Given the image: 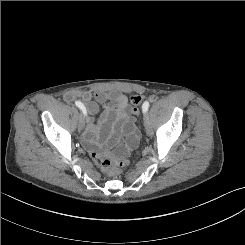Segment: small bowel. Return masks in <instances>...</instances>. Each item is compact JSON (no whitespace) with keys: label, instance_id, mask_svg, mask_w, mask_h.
<instances>
[{"label":"small bowel","instance_id":"small-bowel-1","mask_svg":"<svg viewBox=\"0 0 245 245\" xmlns=\"http://www.w3.org/2000/svg\"><path fill=\"white\" fill-rule=\"evenodd\" d=\"M75 97H80L86 104L90 115H95L99 111V104H104V121L102 127L106 130L110 124L117 125V131L123 139L122 152L134 147L139 138V132L134 126V118L128 111V99L119 91H96L94 93L86 91L69 92L65 95L66 101H71ZM98 125L91 118L88 123L86 139L89 144L96 141Z\"/></svg>","mask_w":245,"mask_h":245}]
</instances>
